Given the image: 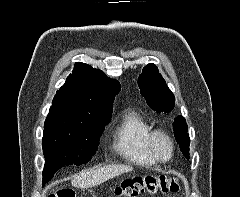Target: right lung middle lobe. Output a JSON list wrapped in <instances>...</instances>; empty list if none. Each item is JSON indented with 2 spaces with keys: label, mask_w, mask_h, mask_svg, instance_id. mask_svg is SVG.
<instances>
[{
  "label": "right lung middle lobe",
  "mask_w": 240,
  "mask_h": 197,
  "mask_svg": "<svg viewBox=\"0 0 240 197\" xmlns=\"http://www.w3.org/2000/svg\"><path fill=\"white\" fill-rule=\"evenodd\" d=\"M106 124L107 121L80 123L46 119L42 143L45 157L43 185L61 167L90 161Z\"/></svg>",
  "instance_id": "dd1d6c3e"
}]
</instances>
